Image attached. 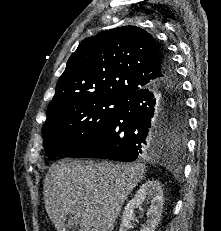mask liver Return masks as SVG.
I'll use <instances>...</instances> for the list:
<instances>
[{"instance_id": "1", "label": "liver", "mask_w": 221, "mask_h": 231, "mask_svg": "<svg viewBox=\"0 0 221 231\" xmlns=\"http://www.w3.org/2000/svg\"><path fill=\"white\" fill-rule=\"evenodd\" d=\"M144 164L62 160L44 179L46 212L58 231L74 217L79 231H113L122 205L144 178Z\"/></svg>"}]
</instances>
